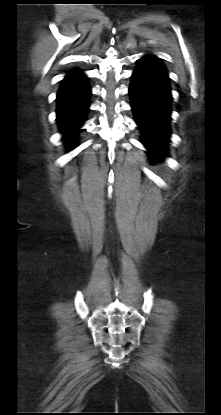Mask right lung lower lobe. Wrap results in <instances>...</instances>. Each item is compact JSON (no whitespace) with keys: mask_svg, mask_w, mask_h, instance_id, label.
<instances>
[{"mask_svg":"<svg viewBox=\"0 0 221 415\" xmlns=\"http://www.w3.org/2000/svg\"><path fill=\"white\" fill-rule=\"evenodd\" d=\"M91 90L86 76L72 69L62 80L57 93V122L65 144L70 147L77 142L79 129L89 110ZM74 148H71L72 150Z\"/></svg>","mask_w":221,"mask_h":415,"instance_id":"obj_1","label":"right lung lower lobe"}]
</instances>
